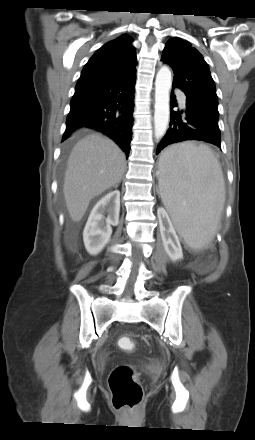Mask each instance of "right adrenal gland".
I'll list each match as a JSON object with an SVG mask.
<instances>
[{
    "label": "right adrenal gland",
    "instance_id": "1",
    "mask_svg": "<svg viewBox=\"0 0 255 440\" xmlns=\"http://www.w3.org/2000/svg\"><path fill=\"white\" fill-rule=\"evenodd\" d=\"M119 184H120V183H117V184H116V185L114 186V188H116V189H117V187L119 186Z\"/></svg>",
    "mask_w": 255,
    "mask_h": 440
}]
</instances>
